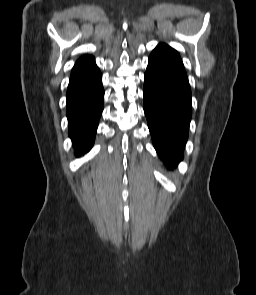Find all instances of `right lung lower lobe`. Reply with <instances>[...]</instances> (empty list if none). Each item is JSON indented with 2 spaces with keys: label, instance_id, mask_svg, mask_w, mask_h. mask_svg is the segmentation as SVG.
<instances>
[{
  "label": "right lung lower lobe",
  "instance_id": "right-lung-lower-lobe-1",
  "mask_svg": "<svg viewBox=\"0 0 256 295\" xmlns=\"http://www.w3.org/2000/svg\"><path fill=\"white\" fill-rule=\"evenodd\" d=\"M102 74L92 56L80 58L74 65L67 89L69 137L76 156L89 151L103 110Z\"/></svg>",
  "mask_w": 256,
  "mask_h": 295
}]
</instances>
